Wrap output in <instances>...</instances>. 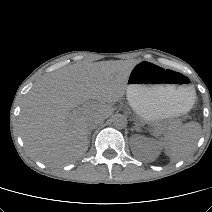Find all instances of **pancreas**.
Instances as JSON below:
<instances>
[{"label": "pancreas", "mask_w": 212, "mask_h": 212, "mask_svg": "<svg viewBox=\"0 0 212 212\" xmlns=\"http://www.w3.org/2000/svg\"><path fill=\"white\" fill-rule=\"evenodd\" d=\"M173 129H174V128H173L172 126H169V127H168V130H169V131H172Z\"/></svg>", "instance_id": "pancreas-1"}]
</instances>
